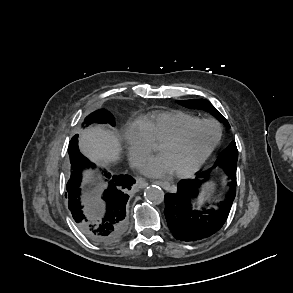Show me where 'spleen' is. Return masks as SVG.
<instances>
[{"label": "spleen", "mask_w": 293, "mask_h": 293, "mask_svg": "<svg viewBox=\"0 0 293 293\" xmlns=\"http://www.w3.org/2000/svg\"><path fill=\"white\" fill-rule=\"evenodd\" d=\"M215 182L210 181L207 183H204L201 187V191L198 196V204H202L204 201H206L214 192H215Z\"/></svg>", "instance_id": "1"}]
</instances>
